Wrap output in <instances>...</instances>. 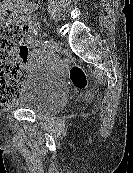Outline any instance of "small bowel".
I'll list each match as a JSON object with an SVG mask.
<instances>
[{
  "mask_svg": "<svg viewBox=\"0 0 133 173\" xmlns=\"http://www.w3.org/2000/svg\"><path fill=\"white\" fill-rule=\"evenodd\" d=\"M40 26L37 22L31 21L30 22V33L32 35L37 34L39 31ZM27 43L34 49L28 53L27 58L25 61H23V64L27 67H32L36 65L37 63L43 62L46 59V53L45 50L38 49L39 47V41L32 36L27 37Z\"/></svg>",
  "mask_w": 133,
  "mask_h": 173,
  "instance_id": "obj_1",
  "label": "small bowel"
}]
</instances>
